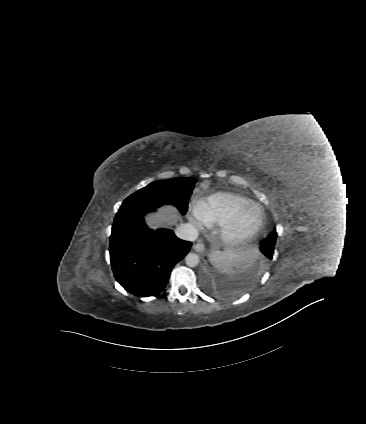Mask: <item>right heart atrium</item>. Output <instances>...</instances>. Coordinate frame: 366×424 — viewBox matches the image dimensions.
<instances>
[{"instance_id": "obj_1", "label": "right heart atrium", "mask_w": 366, "mask_h": 424, "mask_svg": "<svg viewBox=\"0 0 366 424\" xmlns=\"http://www.w3.org/2000/svg\"><path fill=\"white\" fill-rule=\"evenodd\" d=\"M199 207H200V204H199V203H197V204L194 206V221H195L197 224H200V223H201V219H200L199 214H198Z\"/></svg>"}]
</instances>
